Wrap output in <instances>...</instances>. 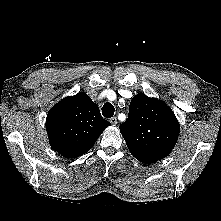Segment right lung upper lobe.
<instances>
[{
	"instance_id": "1",
	"label": "right lung upper lobe",
	"mask_w": 221,
	"mask_h": 221,
	"mask_svg": "<svg viewBox=\"0 0 221 221\" xmlns=\"http://www.w3.org/2000/svg\"><path fill=\"white\" fill-rule=\"evenodd\" d=\"M109 125L99 107L82 92L62 99L46 118L51 147L67 158H77L89 151Z\"/></svg>"
}]
</instances>
